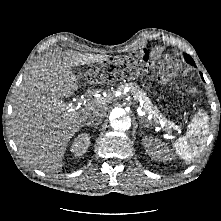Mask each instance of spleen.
Here are the masks:
<instances>
[{
    "label": "spleen",
    "instance_id": "3e777b00",
    "mask_svg": "<svg viewBox=\"0 0 221 221\" xmlns=\"http://www.w3.org/2000/svg\"><path fill=\"white\" fill-rule=\"evenodd\" d=\"M209 133V118L202 110L188 125L185 136L179 137L174 143L176 153L186 162H192L203 151Z\"/></svg>",
    "mask_w": 221,
    "mask_h": 221
}]
</instances>
